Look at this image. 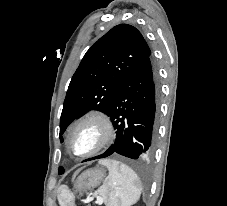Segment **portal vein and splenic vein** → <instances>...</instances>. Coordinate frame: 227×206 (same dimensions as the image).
Listing matches in <instances>:
<instances>
[{
	"label": "portal vein and splenic vein",
	"mask_w": 227,
	"mask_h": 206,
	"mask_svg": "<svg viewBox=\"0 0 227 206\" xmlns=\"http://www.w3.org/2000/svg\"><path fill=\"white\" fill-rule=\"evenodd\" d=\"M97 202H98V203H102V199L98 197V198H97Z\"/></svg>",
	"instance_id": "obj_1"
}]
</instances>
